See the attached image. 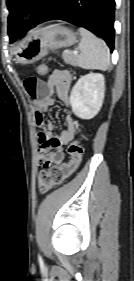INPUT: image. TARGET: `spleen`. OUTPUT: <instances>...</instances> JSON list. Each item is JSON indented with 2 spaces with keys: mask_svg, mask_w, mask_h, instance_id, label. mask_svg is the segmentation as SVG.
Wrapping results in <instances>:
<instances>
[{
  "mask_svg": "<svg viewBox=\"0 0 134 281\" xmlns=\"http://www.w3.org/2000/svg\"><path fill=\"white\" fill-rule=\"evenodd\" d=\"M79 32L82 38L78 46L81 54L77 57V64L84 69L107 70L110 51L106 43L84 28H79Z\"/></svg>",
  "mask_w": 134,
  "mask_h": 281,
  "instance_id": "spleen-1",
  "label": "spleen"
}]
</instances>
